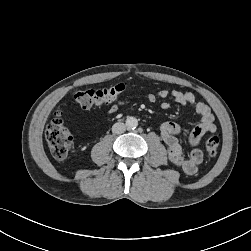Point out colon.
<instances>
[{
    "label": "colon",
    "mask_w": 251,
    "mask_h": 251,
    "mask_svg": "<svg viewBox=\"0 0 251 251\" xmlns=\"http://www.w3.org/2000/svg\"><path fill=\"white\" fill-rule=\"evenodd\" d=\"M127 86L128 83L124 81L107 88L81 90L74 94V99L81 108L90 109L113 101ZM45 137L53 157L59 161L66 159L72 147L73 139L59 112H56L50 120L45 131ZM219 145L220 140L216 134L212 133L206 138L205 148L209 157L217 155Z\"/></svg>",
    "instance_id": "1"
}]
</instances>
